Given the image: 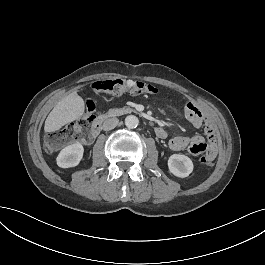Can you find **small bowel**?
<instances>
[{"label": "small bowel", "mask_w": 265, "mask_h": 265, "mask_svg": "<svg viewBox=\"0 0 265 265\" xmlns=\"http://www.w3.org/2000/svg\"><path fill=\"white\" fill-rule=\"evenodd\" d=\"M184 112L193 126L200 127L203 124L206 125V132L209 140L207 142L201 136H174L168 142L169 148L175 152L186 151L194 156L204 153L212 162L217 155L216 134L213 124L194 103H186L184 106Z\"/></svg>", "instance_id": "1"}]
</instances>
